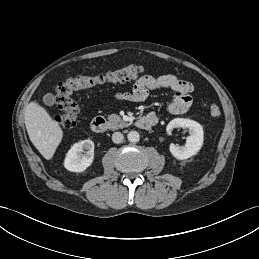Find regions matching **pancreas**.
Returning a JSON list of instances; mask_svg holds the SVG:
<instances>
[{
	"label": "pancreas",
	"mask_w": 259,
	"mask_h": 259,
	"mask_svg": "<svg viewBox=\"0 0 259 259\" xmlns=\"http://www.w3.org/2000/svg\"><path fill=\"white\" fill-rule=\"evenodd\" d=\"M109 128L112 130L122 129L126 126V123L117 114H111L108 116Z\"/></svg>",
	"instance_id": "cf45deb5"
}]
</instances>
